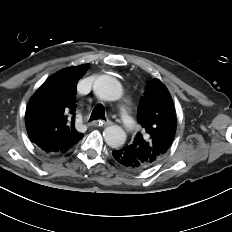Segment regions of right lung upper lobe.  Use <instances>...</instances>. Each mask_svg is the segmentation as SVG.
Here are the masks:
<instances>
[{"instance_id": "cb5924a9", "label": "right lung upper lobe", "mask_w": 232, "mask_h": 232, "mask_svg": "<svg viewBox=\"0 0 232 232\" xmlns=\"http://www.w3.org/2000/svg\"><path fill=\"white\" fill-rule=\"evenodd\" d=\"M89 64L68 67L50 76L30 98L25 125L29 139L48 154L68 151L83 134L75 129L77 82Z\"/></svg>"}]
</instances>
